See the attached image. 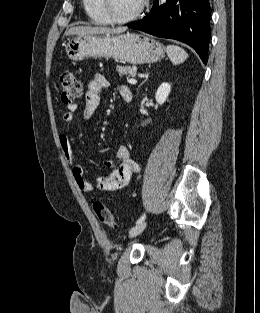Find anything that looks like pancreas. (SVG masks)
I'll return each mask as SVG.
<instances>
[{
  "label": "pancreas",
  "mask_w": 260,
  "mask_h": 313,
  "mask_svg": "<svg viewBox=\"0 0 260 313\" xmlns=\"http://www.w3.org/2000/svg\"><path fill=\"white\" fill-rule=\"evenodd\" d=\"M117 71L119 73V75L122 77V76H128V75H131V76H136L137 74V67L133 66V67H130V66H117Z\"/></svg>",
  "instance_id": "obj_1"
}]
</instances>
